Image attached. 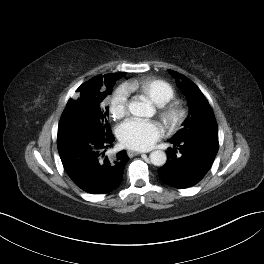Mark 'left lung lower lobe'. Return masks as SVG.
Segmentation results:
<instances>
[{"mask_svg":"<svg viewBox=\"0 0 264 264\" xmlns=\"http://www.w3.org/2000/svg\"><path fill=\"white\" fill-rule=\"evenodd\" d=\"M167 162L158 169L161 180L172 187L184 189L200 182L213 164L219 149L218 139L191 137L181 141L170 140Z\"/></svg>","mask_w":264,"mask_h":264,"instance_id":"left-lung-lower-lobe-1","label":"left lung lower lobe"}]
</instances>
